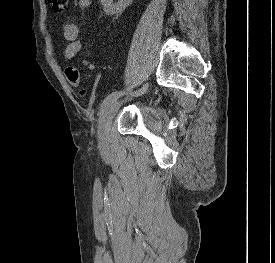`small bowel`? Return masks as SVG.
I'll return each instance as SVG.
<instances>
[{"label": "small bowel", "mask_w": 275, "mask_h": 263, "mask_svg": "<svg viewBox=\"0 0 275 263\" xmlns=\"http://www.w3.org/2000/svg\"><path fill=\"white\" fill-rule=\"evenodd\" d=\"M78 6L81 9H87L91 6V0H78ZM79 33L78 25L74 20H69L65 23L63 27V36L68 44L65 48L64 57L67 60H71L77 56L89 43L88 41L82 42L79 38ZM81 64L89 71L95 70V65L88 60H82Z\"/></svg>", "instance_id": "obj_1"}]
</instances>
